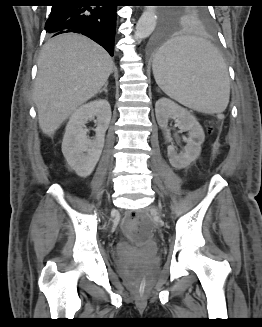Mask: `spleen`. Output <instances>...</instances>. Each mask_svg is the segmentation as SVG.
<instances>
[{
  "mask_svg": "<svg viewBox=\"0 0 262 327\" xmlns=\"http://www.w3.org/2000/svg\"><path fill=\"white\" fill-rule=\"evenodd\" d=\"M152 69L162 91L186 107L214 114L229 103L227 65L209 41L176 36L158 49Z\"/></svg>",
  "mask_w": 262,
  "mask_h": 327,
  "instance_id": "1",
  "label": "spleen"
}]
</instances>
